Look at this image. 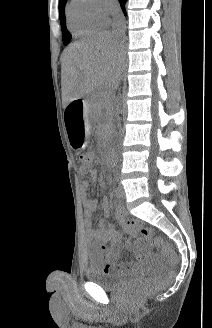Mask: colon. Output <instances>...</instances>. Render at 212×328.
Returning <instances> with one entry per match:
<instances>
[{"instance_id": "colon-1", "label": "colon", "mask_w": 212, "mask_h": 328, "mask_svg": "<svg viewBox=\"0 0 212 328\" xmlns=\"http://www.w3.org/2000/svg\"><path fill=\"white\" fill-rule=\"evenodd\" d=\"M80 160L83 163H80L79 172L80 173H93L94 168H93V166H91V163H89L92 160V154L89 152H84L80 155ZM141 234L146 239L152 240L156 245L161 246L165 256L167 257V259L170 263H172V264L177 263L178 257L176 255V253L162 239L154 238L153 233L150 229H148V228L141 229ZM151 289H152V287H150V286L142 288L139 291H137L136 296L141 297L144 294L151 291Z\"/></svg>"}]
</instances>
